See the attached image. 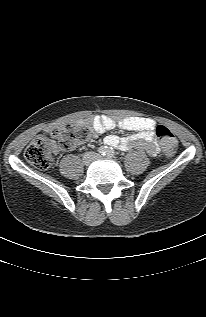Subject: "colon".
I'll return each mask as SVG.
<instances>
[{
    "label": "colon",
    "mask_w": 206,
    "mask_h": 317,
    "mask_svg": "<svg viewBox=\"0 0 206 317\" xmlns=\"http://www.w3.org/2000/svg\"><path fill=\"white\" fill-rule=\"evenodd\" d=\"M154 131L160 139L163 150L167 154H172L177 147V139L173 132L161 124H156ZM90 134L91 130L88 127L65 124L54 128L49 133V136L58 142L61 149L69 150L78 143L86 141ZM49 136L37 137L27 146L24 152L26 160L41 170H48L52 166L51 151L53 142Z\"/></svg>",
    "instance_id": "5ec220e1"
}]
</instances>
